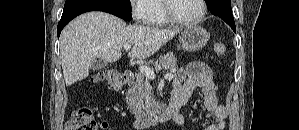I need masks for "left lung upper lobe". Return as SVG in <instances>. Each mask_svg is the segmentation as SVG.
Here are the masks:
<instances>
[{
  "label": "left lung upper lobe",
  "mask_w": 299,
  "mask_h": 130,
  "mask_svg": "<svg viewBox=\"0 0 299 130\" xmlns=\"http://www.w3.org/2000/svg\"><path fill=\"white\" fill-rule=\"evenodd\" d=\"M207 3V6H217L218 7V3L217 0H205ZM224 2H226L225 6L227 8H231V1L230 0H224Z\"/></svg>",
  "instance_id": "left-lung-upper-lobe-1"
}]
</instances>
